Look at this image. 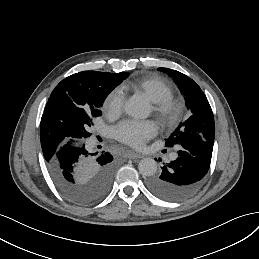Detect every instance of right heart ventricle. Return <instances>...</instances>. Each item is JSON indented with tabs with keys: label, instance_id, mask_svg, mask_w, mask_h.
Instances as JSON below:
<instances>
[{
	"label": "right heart ventricle",
	"instance_id": "e07e8e85",
	"mask_svg": "<svg viewBox=\"0 0 259 259\" xmlns=\"http://www.w3.org/2000/svg\"><path fill=\"white\" fill-rule=\"evenodd\" d=\"M117 90L122 94L144 93L152 102H159L172 97L173 89L170 85L159 78L133 77L121 83Z\"/></svg>",
	"mask_w": 259,
	"mask_h": 259
}]
</instances>
